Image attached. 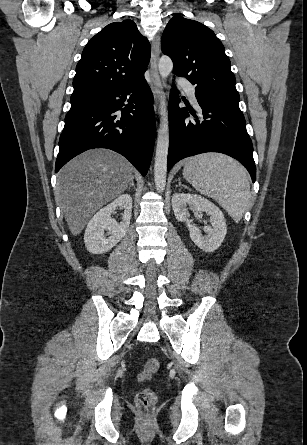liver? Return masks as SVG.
<instances>
[{
  "label": "liver",
  "instance_id": "liver-1",
  "mask_svg": "<svg viewBox=\"0 0 307 445\" xmlns=\"http://www.w3.org/2000/svg\"><path fill=\"white\" fill-rule=\"evenodd\" d=\"M132 170L124 156L108 148L86 150L61 168L55 196L74 237L82 233L98 208L128 188Z\"/></svg>",
  "mask_w": 307,
  "mask_h": 445
}]
</instances>
